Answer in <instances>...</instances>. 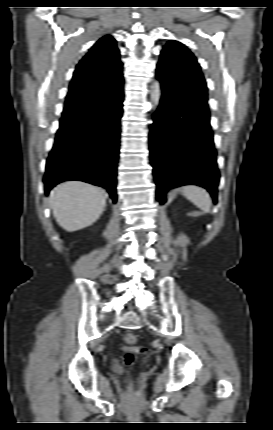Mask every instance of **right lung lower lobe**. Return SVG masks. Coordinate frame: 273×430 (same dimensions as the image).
<instances>
[{
  "mask_svg": "<svg viewBox=\"0 0 273 430\" xmlns=\"http://www.w3.org/2000/svg\"><path fill=\"white\" fill-rule=\"evenodd\" d=\"M87 95L82 109L60 120L47 159L45 193L62 181L80 180L107 189L116 203L123 80L106 81Z\"/></svg>",
  "mask_w": 273,
  "mask_h": 430,
  "instance_id": "1",
  "label": "right lung lower lobe"
}]
</instances>
